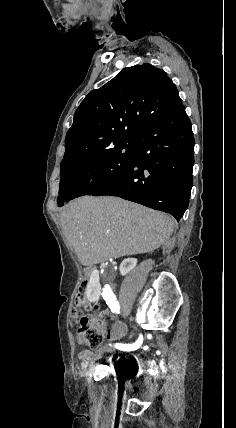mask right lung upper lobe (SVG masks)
Instances as JSON below:
<instances>
[{"instance_id": "obj_1", "label": "right lung upper lobe", "mask_w": 236, "mask_h": 428, "mask_svg": "<svg viewBox=\"0 0 236 428\" xmlns=\"http://www.w3.org/2000/svg\"><path fill=\"white\" fill-rule=\"evenodd\" d=\"M180 106L177 88L162 69L149 63L123 69L79 105L66 135L60 168L118 142L135 140Z\"/></svg>"}]
</instances>
